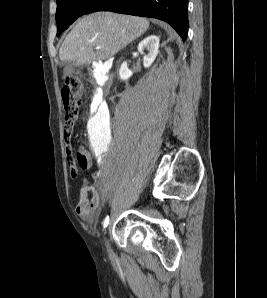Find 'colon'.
Masks as SVG:
<instances>
[{"label":"colon","mask_w":267,"mask_h":298,"mask_svg":"<svg viewBox=\"0 0 267 298\" xmlns=\"http://www.w3.org/2000/svg\"><path fill=\"white\" fill-rule=\"evenodd\" d=\"M82 83L76 76L67 77L62 87V100L64 104V136L68 141L71 129L77 119L78 111L81 105ZM67 162L70 167L72 178H76L79 168L87 170L89 168V159L85 152L78 150L74 153L72 147L67 144Z\"/></svg>","instance_id":"obj_1"}]
</instances>
